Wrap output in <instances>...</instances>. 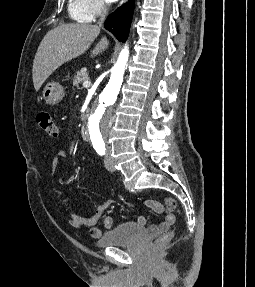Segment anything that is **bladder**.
<instances>
[{"label": "bladder", "instance_id": "1", "mask_svg": "<svg viewBox=\"0 0 255 287\" xmlns=\"http://www.w3.org/2000/svg\"><path fill=\"white\" fill-rule=\"evenodd\" d=\"M147 228L135 222H122L106 231L97 241L99 247L129 245L143 237Z\"/></svg>", "mask_w": 255, "mask_h": 287}]
</instances>
